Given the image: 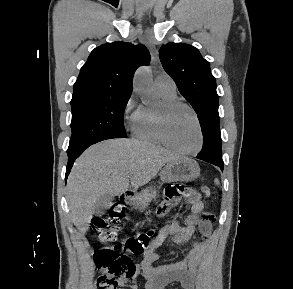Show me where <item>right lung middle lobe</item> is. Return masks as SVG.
Instances as JSON below:
<instances>
[{
  "label": "right lung middle lobe",
  "mask_w": 293,
  "mask_h": 289,
  "mask_svg": "<svg viewBox=\"0 0 293 289\" xmlns=\"http://www.w3.org/2000/svg\"><path fill=\"white\" fill-rule=\"evenodd\" d=\"M129 97L130 95L116 98L92 97L71 101L72 136L69 148L104 137H127L123 120Z\"/></svg>",
  "instance_id": "1"
}]
</instances>
